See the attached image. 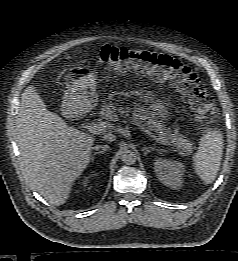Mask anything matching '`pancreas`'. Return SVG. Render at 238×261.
<instances>
[{
  "label": "pancreas",
  "instance_id": "pancreas-1",
  "mask_svg": "<svg viewBox=\"0 0 238 261\" xmlns=\"http://www.w3.org/2000/svg\"><path fill=\"white\" fill-rule=\"evenodd\" d=\"M100 110L101 118L109 122H117L121 117L125 119L132 114L131 118L134 123L146 125L149 130L156 132L157 137L165 139L174 145L181 155H190L195 149L193 143L184 135L179 134L178 131L172 132L161 122L154 119L152 115H149L147 111L138 112L130 108H117L112 101L104 103Z\"/></svg>",
  "mask_w": 238,
  "mask_h": 261
}]
</instances>
